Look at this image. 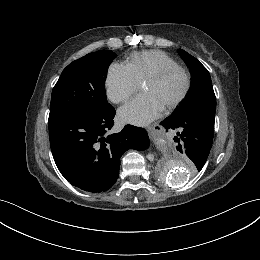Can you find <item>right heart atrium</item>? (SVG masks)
Returning <instances> with one entry per match:
<instances>
[{
  "label": "right heart atrium",
  "mask_w": 260,
  "mask_h": 260,
  "mask_svg": "<svg viewBox=\"0 0 260 260\" xmlns=\"http://www.w3.org/2000/svg\"><path fill=\"white\" fill-rule=\"evenodd\" d=\"M105 84L107 97L116 104L128 100L139 87L128 68L123 64L110 65Z\"/></svg>",
  "instance_id": "right-heart-atrium-1"
}]
</instances>
